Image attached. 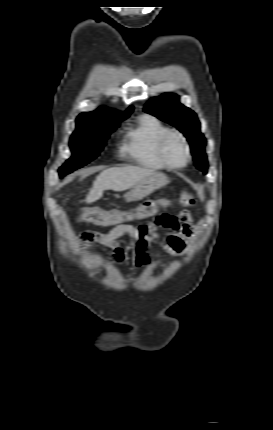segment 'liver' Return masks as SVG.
<instances>
[{
	"mask_svg": "<svg viewBox=\"0 0 273 430\" xmlns=\"http://www.w3.org/2000/svg\"><path fill=\"white\" fill-rule=\"evenodd\" d=\"M153 172L152 169L133 166L106 169L96 177L85 202L92 203L99 200L105 190H128Z\"/></svg>",
	"mask_w": 273,
	"mask_h": 430,
	"instance_id": "6515ba94",
	"label": "liver"
}]
</instances>
